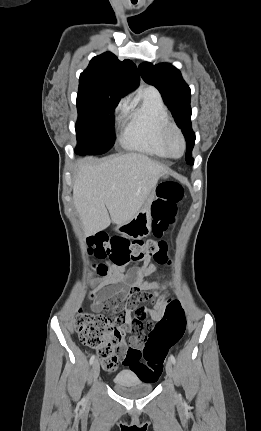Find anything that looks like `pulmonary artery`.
I'll return each mask as SVG.
<instances>
[{
	"label": "pulmonary artery",
	"mask_w": 261,
	"mask_h": 431,
	"mask_svg": "<svg viewBox=\"0 0 261 431\" xmlns=\"http://www.w3.org/2000/svg\"><path fill=\"white\" fill-rule=\"evenodd\" d=\"M150 89H152V90L156 91L154 88H150Z\"/></svg>",
	"instance_id": "e3ab8cb5"
}]
</instances>
